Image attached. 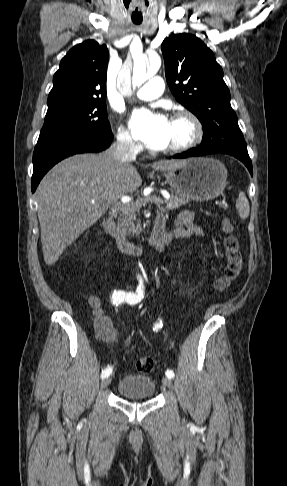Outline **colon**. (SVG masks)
<instances>
[{"mask_svg": "<svg viewBox=\"0 0 287 486\" xmlns=\"http://www.w3.org/2000/svg\"><path fill=\"white\" fill-rule=\"evenodd\" d=\"M224 251L227 260L223 274L215 281L217 290H224L234 282L241 274L243 268V255L237 237L232 233L229 223H224ZM154 368V360L151 357H141L136 361V369L141 373H149Z\"/></svg>", "mask_w": 287, "mask_h": 486, "instance_id": "obj_1", "label": "colon"}]
</instances>
